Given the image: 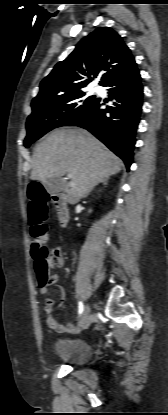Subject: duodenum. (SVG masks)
<instances>
[{
	"label": "duodenum",
	"mask_w": 168,
	"mask_h": 415,
	"mask_svg": "<svg viewBox=\"0 0 168 415\" xmlns=\"http://www.w3.org/2000/svg\"><path fill=\"white\" fill-rule=\"evenodd\" d=\"M53 202L56 208L59 225L64 228L67 226L70 219L67 203L61 195L53 196Z\"/></svg>",
	"instance_id": "410a0bca"
}]
</instances>
